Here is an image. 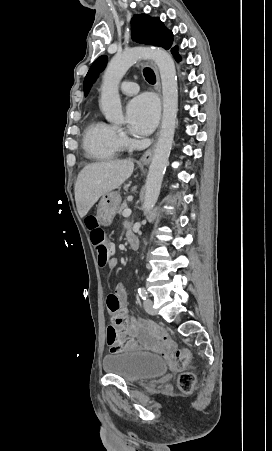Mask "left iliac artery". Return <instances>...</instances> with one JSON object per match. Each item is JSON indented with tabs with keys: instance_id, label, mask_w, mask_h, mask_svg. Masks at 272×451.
Returning a JSON list of instances; mask_svg holds the SVG:
<instances>
[{
	"instance_id": "1",
	"label": "left iliac artery",
	"mask_w": 272,
	"mask_h": 451,
	"mask_svg": "<svg viewBox=\"0 0 272 451\" xmlns=\"http://www.w3.org/2000/svg\"><path fill=\"white\" fill-rule=\"evenodd\" d=\"M138 294L143 300L147 298V291L143 287L138 288Z\"/></svg>"
}]
</instances>
